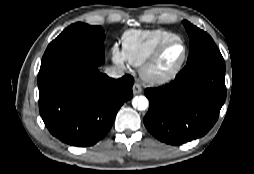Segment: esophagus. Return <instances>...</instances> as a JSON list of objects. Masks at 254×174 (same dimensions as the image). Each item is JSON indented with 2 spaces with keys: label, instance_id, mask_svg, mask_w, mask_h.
<instances>
[{
  "label": "esophagus",
  "instance_id": "34e87169",
  "mask_svg": "<svg viewBox=\"0 0 254 174\" xmlns=\"http://www.w3.org/2000/svg\"><path fill=\"white\" fill-rule=\"evenodd\" d=\"M133 93L134 94H141L142 93V87H141V84L136 82L134 85H133Z\"/></svg>",
  "mask_w": 254,
  "mask_h": 174
}]
</instances>
